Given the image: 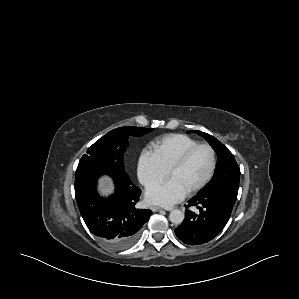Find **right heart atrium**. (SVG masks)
<instances>
[{"instance_id": "right-heart-atrium-1", "label": "right heart atrium", "mask_w": 299, "mask_h": 299, "mask_svg": "<svg viewBox=\"0 0 299 299\" xmlns=\"http://www.w3.org/2000/svg\"><path fill=\"white\" fill-rule=\"evenodd\" d=\"M168 172L163 168L156 155L150 150H143L137 161V176L140 183L151 186L164 180Z\"/></svg>"}]
</instances>
